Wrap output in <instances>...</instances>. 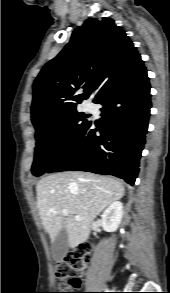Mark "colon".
<instances>
[{
  "label": "colon",
  "mask_w": 170,
  "mask_h": 293,
  "mask_svg": "<svg viewBox=\"0 0 170 293\" xmlns=\"http://www.w3.org/2000/svg\"><path fill=\"white\" fill-rule=\"evenodd\" d=\"M89 262L88 253L80 249L67 259L58 261L55 264L56 277L61 281V291H74L80 285L79 275L84 272ZM56 293H74V292H56Z\"/></svg>",
  "instance_id": "obj_1"
}]
</instances>
